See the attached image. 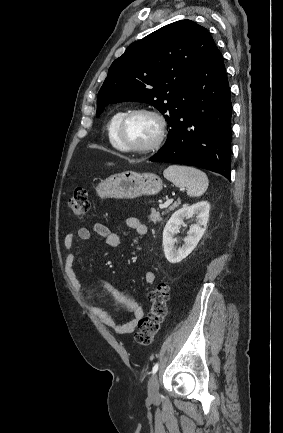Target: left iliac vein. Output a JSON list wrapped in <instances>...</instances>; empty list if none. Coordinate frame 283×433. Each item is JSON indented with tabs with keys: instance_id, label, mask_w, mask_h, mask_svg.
Segmentation results:
<instances>
[{
	"instance_id": "4c4485c4",
	"label": "left iliac vein",
	"mask_w": 283,
	"mask_h": 433,
	"mask_svg": "<svg viewBox=\"0 0 283 433\" xmlns=\"http://www.w3.org/2000/svg\"><path fill=\"white\" fill-rule=\"evenodd\" d=\"M159 381L157 374H153L148 381V398L157 402L159 399Z\"/></svg>"
}]
</instances>
